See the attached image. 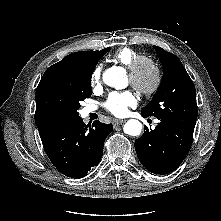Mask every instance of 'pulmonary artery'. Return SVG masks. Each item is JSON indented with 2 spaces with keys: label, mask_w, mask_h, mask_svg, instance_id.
Masks as SVG:
<instances>
[{
  "label": "pulmonary artery",
  "mask_w": 221,
  "mask_h": 221,
  "mask_svg": "<svg viewBox=\"0 0 221 221\" xmlns=\"http://www.w3.org/2000/svg\"><path fill=\"white\" fill-rule=\"evenodd\" d=\"M96 109V107H94V106H89V107H87V112H92V111H94Z\"/></svg>",
  "instance_id": "pulmonary-artery-1"
}]
</instances>
